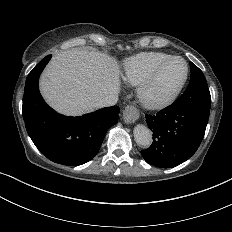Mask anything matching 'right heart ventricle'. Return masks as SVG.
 Wrapping results in <instances>:
<instances>
[{"label": "right heart ventricle", "instance_id": "obj_1", "mask_svg": "<svg viewBox=\"0 0 232 232\" xmlns=\"http://www.w3.org/2000/svg\"><path fill=\"white\" fill-rule=\"evenodd\" d=\"M171 55L145 51L124 58L119 66L118 76L123 85L137 87L141 80L157 65L169 59Z\"/></svg>", "mask_w": 232, "mask_h": 232}]
</instances>
